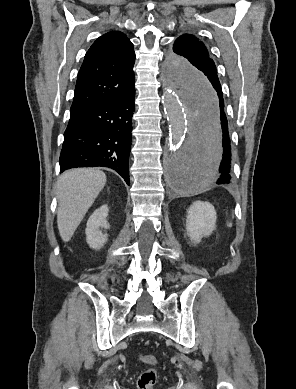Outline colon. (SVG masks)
Returning <instances> with one entry per match:
<instances>
[{
  "mask_svg": "<svg viewBox=\"0 0 296 389\" xmlns=\"http://www.w3.org/2000/svg\"><path fill=\"white\" fill-rule=\"evenodd\" d=\"M139 359L141 362L148 365L149 368L142 371L139 375L138 389H153L157 379V372L155 369L157 359L153 355H141Z\"/></svg>",
  "mask_w": 296,
  "mask_h": 389,
  "instance_id": "1",
  "label": "colon"
}]
</instances>
